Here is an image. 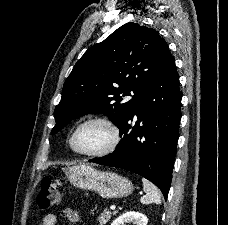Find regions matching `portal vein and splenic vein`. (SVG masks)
I'll return each mask as SVG.
<instances>
[{
  "label": "portal vein and splenic vein",
  "instance_id": "portal-vein-and-splenic-vein-1",
  "mask_svg": "<svg viewBox=\"0 0 228 225\" xmlns=\"http://www.w3.org/2000/svg\"><path fill=\"white\" fill-rule=\"evenodd\" d=\"M109 209H112V211H113V209H116V204H109Z\"/></svg>",
  "mask_w": 228,
  "mask_h": 225
}]
</instances>
